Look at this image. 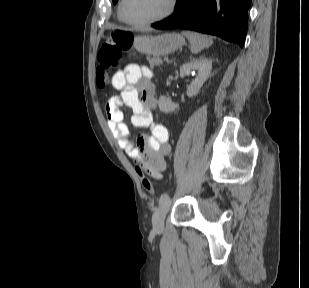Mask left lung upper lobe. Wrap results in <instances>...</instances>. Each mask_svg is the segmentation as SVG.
<instances>
[{
    "label": "left lung upper lobe",
    "mask_w": 309,
    "mask_h": 288,
    "mask_svg": "<svg viewBox=\"0 0 309 288\" xmlns=\"http://www.w3.org/2000/svg\"><path fill=\"white\" fill-rule=\"evenodd\" d=\"M118 0H113V3L116 4Z\"/></svg>",
    "instance_id": "obj_1"
}]
</instances>
